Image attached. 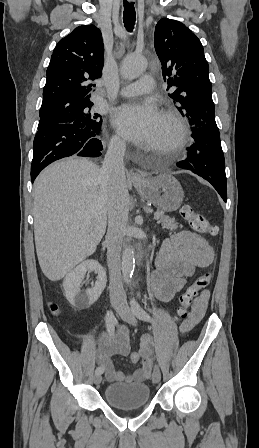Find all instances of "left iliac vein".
Here are the masks:
<instances>
[{"mask_svg":"<svg viewBox=\"0 0 259 448\" xmlns=\"http://www.w3.org/2000/svg\"><path fill=\"white\" fill-rule=\"evenodd\" d=\"M117 313L119 316L126 321L127 323L135 326L137 321L135 318L134 313L130 309L128 303L125 300H121L116 308ZM161 379V372L158 366L154 367L153 374H152V381L154 383H158Z\"/></svg>","mask_w":259,"mask_h":448,"instance_id":"1","label":"left iliac vein"}]
</instances>
